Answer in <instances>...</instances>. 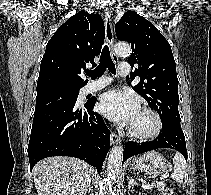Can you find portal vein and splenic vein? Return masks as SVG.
I'll return each mask as SVG.
<instances>
[{
    "instance_id": "obj_1",
    "label": "portal vein and splenic vein",
    "mask_w": 211,
    "mask_h": 195,
    "mask_svg": "<svg viewBox=\"0 0 211 195\" xmlns=\"http://www.w3.org/2000/svg\"><path fill=\"white\" fill-rule=\"evenodd\" d=\"M152 186H154V183H152V184L143 183V184H142V187H143V188H150V187H152Z\"/></svg>"
}]
</instances>
